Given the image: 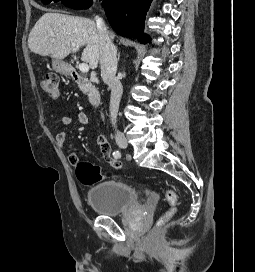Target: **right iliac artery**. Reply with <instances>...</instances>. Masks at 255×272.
<instances>
[{
	"mask_svg": "<svg viewBox=\"0 0 255 272\" xmlns=\"http://www.w3.org/2000/svg\"><path fill=\"white\" fill-rule=\"evenodd\" d=\"M113 156L118 159L121 157V153L119 151H114Z\"/></svg>",
	"mask_w": 255,
	"mask_h": 272,
	"instance_id": "right-iliac-artery-1",
	"label": "right iliac artery"
}]
</instances>
